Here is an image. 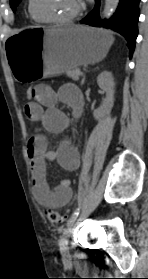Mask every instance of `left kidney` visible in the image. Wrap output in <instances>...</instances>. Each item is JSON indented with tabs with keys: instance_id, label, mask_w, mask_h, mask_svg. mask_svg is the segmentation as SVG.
Wrapping results in <instances>:
<instances>
[{
	"instance_id": "left-kidney-1",
	"label": "left kidney",
	"mask_w": 148,
	"mask_h": 279,
	"mask_svg": "<svg viewBox=\"0 0 148 279\" xmlns=\"http://www.w3.org/2000/svg\"><path fill=\"white\" fill-rule=\"evenodd\" d=\"M98 86L106 92V97L100 108L94 110L93 117L95 120H100L105 117L112 109L114 105V79L110 72L104 71L97 77Z\"/></svg>"
}]
</instances>
